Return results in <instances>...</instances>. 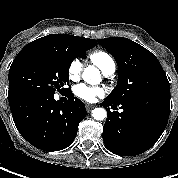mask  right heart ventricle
<instances>
[{"label": "right heart ventricle", "instance_id": "right-heart-ventricle-1", "mask_svg": "<svg viewBox=\"0 0 178 178\" xmlns=\"http://www.w3.org/2000/svg\"><path fill=\"white\" fill-rule=\"evenodd\" d=\"M89 59L95 64L103 73L110 67L115 66L113 58L104 51H94L89 54Z\"/></svg>", "mask_w": 178, "mask_h": 178}]
</instances>
